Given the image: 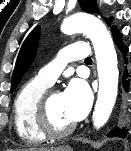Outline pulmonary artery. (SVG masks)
<instances>
[{
  "label": "pulmonary artery",
  "mask_w": 131,
  "mask_h": 151,
  "mask_svg": "<svg viewBox=\"0 0 131 151\" xmlns=\"http://www.w3.org/2000/svg\"><path fill=\"white\" fill-rule=\"evenodd\" d=\"M89 55V46L85 42L70 43L59 51L52 62L38 72L37 78L48 85H52L68 62L84 61Z\"/></svg>",
  "instance_id": "e3ab8cb5"
}]
</instances>
